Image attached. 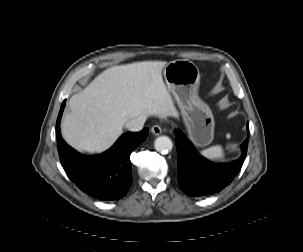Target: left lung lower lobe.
<instances>
[{"label": "left lung lower lobe", "mask_w": 303, "mask_h": 252, "mask_svg": "<svg viewBox=\"0 0 303 252\" xmlns=\"http://www.w3.org/2000/svg\"><path fill=\"white\" fill-rule=\"evenodd\" d=\"M174 133L178 155L177 177L186 194L203 196L216 193L239 173L246 157L249 136L241 146L239 159L228 164H216L203 158L180 130H175Z\"/></svg>", "instance_id": "obj_1"}]
</instances>
